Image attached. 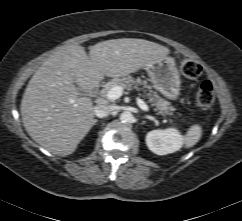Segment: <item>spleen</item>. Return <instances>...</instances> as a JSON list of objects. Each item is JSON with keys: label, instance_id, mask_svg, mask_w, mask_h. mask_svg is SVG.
I'll list each match as a JSON object with an SVG mask.
<instances>
[{"label": "spleen", "instance_id": "1", "mask_svg": "<svg viewBox=\"0 0 242 221\" xmlns=\"http://www.w3.org/2000/svg\"><path fill=\"white\" fill-rule=\"evenodd\" d=\"M202 128L199 125H193L189 128L185 137V146L190 148L194 146L201 138Z\"/></svg>", "mask_w": 242, "mask_h": 221}]
</instances>
